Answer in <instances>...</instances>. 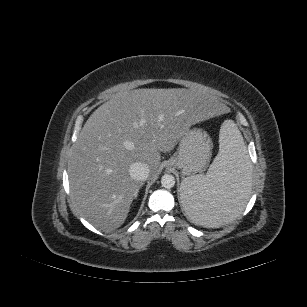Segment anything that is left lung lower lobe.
Instances as JSON below:
<instances>
[{"instance_id":"obj_1","label":"left lung lower lobe","mask_w":307,"mask_h":307,"mask_svg":"<svg viewBox=\"0 0 307 307\" xmlns=\"http://www.w3.org/2000/svg\"><path fill=\"white\" fill-rule=\"evenodd\" d=\"M238 206L239 204L238 202H236L235 197L231 196L221 204L220 208L216 210L217 212L215 213L229 216L230 214H233L237 210Z\"/></svg>"}]
</instances>
